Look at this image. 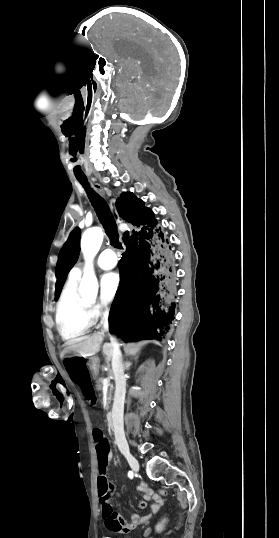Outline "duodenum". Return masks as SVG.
Here are the masks:
<instances>
[{"mask_svg":"<svg viewBox=\"0 0 279 538\" xmlns=\"http://www.w3.org/2000/svg\"><path fill=\"white\" fill-rule=\"evenodd\" d=\"M92 369H93L94 371H97V370L99 369V366H98L97 364H94V365L92 366ZM105 417L107 418V422L109 423V427H110L111 429H114V428L116 427V424L114 423V419H113L114 414H113L112 412H107V413L105 414Z\"/></svg>","mask_w":279,"mask_h":538,"instance_id":"1","label":"duodenum"}]
</instances>
